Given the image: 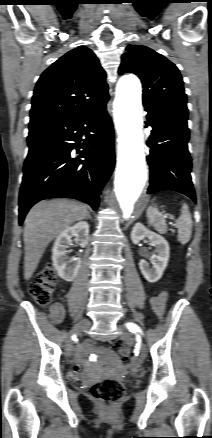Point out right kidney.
<instances>
[{
  "mask_svg": "<svg viewBox=\"0 0 212 438\" xmlns=\"http://www.w3.org/2000/svg\"><path fill=\"white\" fill-rule=\"evenodd\" d=\"M75 237L81 247H85L89 240V224L85 221L64 229L56 238L52 248V261L58 275L65 281H73L81 266V259L75 258L69 261L67 256L68 245Z\"/></svg>",
  "mask_w": 212,
  "mask_h": 438,
  "instance_id": "ca27d5eb",
  "label": "right kidney"
}]
</instances>
